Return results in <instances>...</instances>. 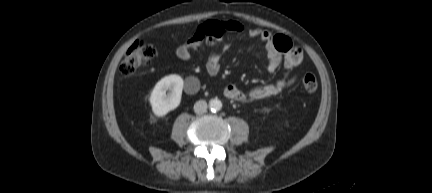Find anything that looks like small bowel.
Segmentation results:
<instances>
[{"label":"small bowel","instance_id":"small-bowel-1","mask_svg":"<svg viewBox=\"0 0 432 193\" xmlns=\"http://www.w3.org/2000/svg\"><path fill=\"white\" fill-rule=\"evenodd\" d=\"M212 26H219L225 32L243 33L251 38H256L264 43L267 54V69L270 73L275 72L283 63L284 74L276 82L271 84L258 85L249 90L247 93L241 91L234 84H229L224 89V95L234 101H245L247 99L261 100L276 96L296 81V76L288 77V71L299 66L303 61L302 49L293 45L292 41L284 36L272 34L270 31L245 25L241 22L228 21H210L201 25L194 36L185 43L178 45L175 49L176 56L187 61L191 58L193 52L197 49L198 41L205 31ZM206 72L210 76H216L220 70V54L212 53L206 63ZM200 88L199 81L194 77H189L185 81V92L195 94Z\"/></svg>","mask_w":432,"mask_h":193}]
</instances>
